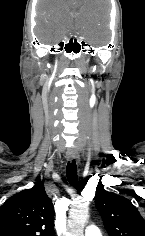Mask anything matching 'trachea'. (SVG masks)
<instances>
[{
    "label": "trachea",
    "instance_id": "trachea-1",
    "mask_svg": "<svg viewBox=\"0 0 145 236\" xmlns=\"http://www.w3.org/2000/svg\"><path fill=\"white\" fill-rule=\"evenodd\" d=\"M67 179L70 185H75L77 182V165L75 160L68 162L66 168Z\"/></svg>",
    "mask_w": 145,
    "mask_h": 236
}]
</instances>
